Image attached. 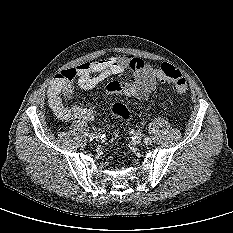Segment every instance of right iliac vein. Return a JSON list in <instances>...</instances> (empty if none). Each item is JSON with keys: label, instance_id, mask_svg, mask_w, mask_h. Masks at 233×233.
<instances>
[{"label": "right iliac vein", "instance_id": "1", "mask_svg": "<svg viewBox=\"0 0 233 233\" xmlns=\"http://www.w3.org/2000/svg\"><path fill=\"white\" fill-rule=\"evenodd\" d=\"M95 139H96V141H98V140L100 139V135L97 134V135L95 136Z\"/></svg>", "mask_w": 233, "mask_h": 233}]
</instances>
